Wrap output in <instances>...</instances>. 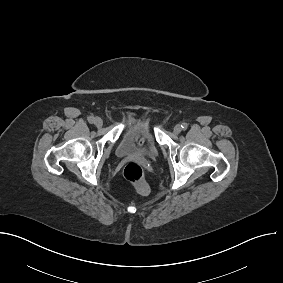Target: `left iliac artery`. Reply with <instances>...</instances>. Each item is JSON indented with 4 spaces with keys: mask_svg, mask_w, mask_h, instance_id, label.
Masks as SVG:
<instances>
[{
    "mask_svg": "<svg viewBox=\"0 0 283 283\" xmlns=\"http://www.w3.org/2000/svg\"><path fill=\"white\" fill-rule=\"evenodd\" d=\"M181 127H182L183 130H186L187 127H188V124L187 123H182Z\"/></svg>",
    "mask_w": 283,
    "mask_h": 283,
    "instance_id": "obj_1",
    "label": "left iliac artery"
}]
</instances>
